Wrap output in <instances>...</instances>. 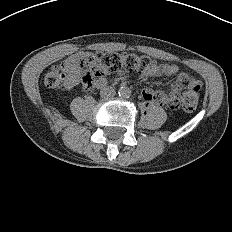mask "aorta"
Masks as SVG:
<instances>
[{"mask_svg":"<svg viewBox=\"0 0 232 232\" xmlns=\"http://www.w3.org/2000/svg\"><path fill=\"white\" fill-rule=\"evenodd\" d=\"M118 93L121 97H129L131 95V89L127 86H122L119 88Z\"/></svg>","mask_w":232,"mask_h":232,"instance_id":"obj_1","label":"aorta"}]
</instances>
